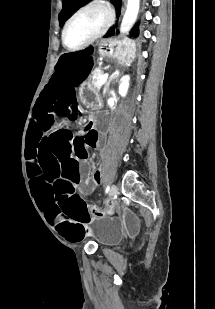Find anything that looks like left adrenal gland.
I'll return each mask as SVG.
<instances>
[{"mask_svg":"<svg viewBox=\"0 0 215 309\" xmlns=\"http://www.w3.org/2000/svg\"><path fill=\"white\" fill-rule=\"evenodd\" d=\"M118 76H119V70H118V68H116L115 72H113L112 76H110V78L108 80L109 84H110L111 80H115V82H117Z\"/></svg>","mask_w":215,"mask_h":309,"instance_id":"left-adrenal-gland-1","label":"left adrenal gland"}]
</instances>
